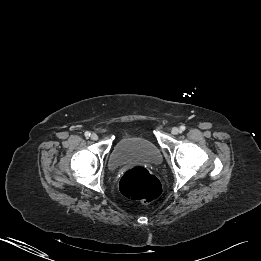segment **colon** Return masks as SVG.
Wrapping results in <instances>:
<instances>
[{
  "instance_id": "colon-1",
  "label": "colon",
  "mask_w": 261,
  "mask_h": 261,
  "mask_svg": "<svg viewBox=\"0 0 261 261\" xmlns=\"http://www.w3.org/2000/svg\"><path fill=\"white\" fill-rule=\"evenodd\" d=\"M119 188L125 197L143 203L153 201L162 192L160 181L144 167L126 171L120 179Z\"/></svg>"
}]
</instances>
